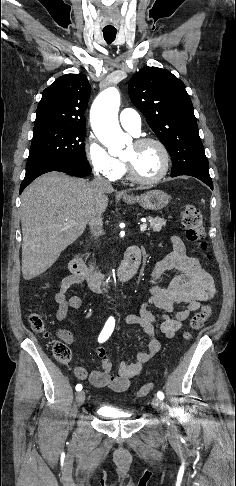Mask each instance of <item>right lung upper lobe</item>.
<instances>
[{
	"label": "right lung upper lobe",
	"mask_w": 236,
	"mask_h": 486,
	"mask_svg": "<svg viewBox=\"0 0 236 486\" xmlns=\"http://www.w3.org/2000/svg\"><path fill=\"white\" fill-rule=\"evenodd\" d=\"M90 90V84L83 74H66L56 79L43 91L37 107L34 128H86L84 112Z\"/></svg>",
	"instance_id": "cb5924a9"
}]
</instances>
